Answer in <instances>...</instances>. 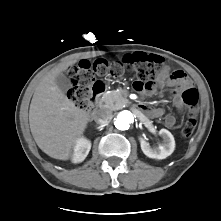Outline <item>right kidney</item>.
<instances>
[{
	"label": "right kidney",
	"instance_id": "ca27d5eb",
	"mask_svg": "<svg viewBox=\"0 0 221 221\" xmlns=\"http://www.w3.org/2000/svg\"><path fill=\"white\" fill-rule=\"evenodd\" d=\"M90 149H91V142L86 138H79L74 148V154L72 157L73 163L82 162L87 157Z\"/></svg>",
	"mask_w": 221,
	"mask_h": 221
}]
</instances>
